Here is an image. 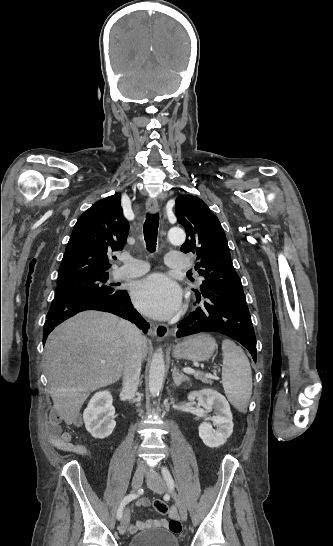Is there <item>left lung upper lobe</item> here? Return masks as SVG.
<instances>
[{"instance_id": "left-lung-upper-lobe-1", "label": "left lung upper lobe", "mask_w": 333, "mask_h": 546, "mask_svg": "<svg viewBox=\"0 0 333 546\" xmlns=\"http://www.w3.org/2000/svg\"><path fill=\"white\" fill-rule=\"evenodd\" d=\"M178 223L187 238L180 250L196 255L195 269L204 278L201 293L242 294V283L232 265L224 230L218 218L198 197L182 195L176 199Z\"/></svg>"}]
</instances>
